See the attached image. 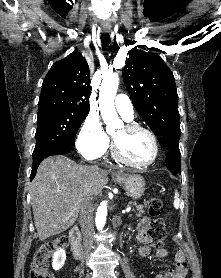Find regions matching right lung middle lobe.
I'll list each match as a JSON object with an SVG mask.
<instances>
[{
  "instance_id": "1",
  "label": "right lung middle lobe",
  "mask_w": 221,
  "mask_h": 278,
  "mask_svg": "<svg viewBox=\"0 0 221 278\" xmlns=\"http://www.w3.org/2000/svg\"><path fill=\"white\" fill-rule=\"evenodd\" d=\"M88 113H78L62 109L38 110L36 145L34 151L53 142L74 144L75 135Z\"/></svg>"
}]
</instances>
